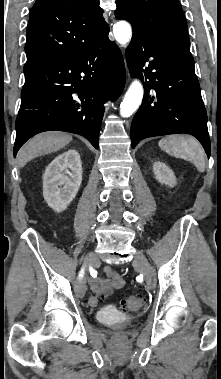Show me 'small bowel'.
Returning <instances> with one entry per match:
<instances>
[{"label":"small bowel","mask_w":221,"mask_h":379,"mask_svg":"<svg viewBox=\"0 0 221 379\" xmlns=\"http://www.w3.org/2000/svg\"><path fill=\"white\" fill-rule=\"evenodd\" d=\"M105 278H93L90 282L93 295L89 298L91 306H96L101 298L109 296L113 289L124 287L123 278L112 269L111 266L104 268Z\"/></svg>","instance_id":"obj_1"}]
</instances>
